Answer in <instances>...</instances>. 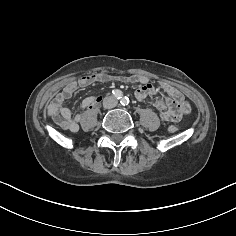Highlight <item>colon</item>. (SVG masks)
<instances>
[{"instance_id":"5ec220e1","label":"colon","mask_w":236,"mask_h":236,"mask_svg":"<svg viewBox=\"0 0 236 236\" xmlns=\"http://www.w3.org/2000/svg\"><path fill=\"white\" fill-rule=\"evenodd\" d=\"M169 129H170V131H172V132H175V131L177 130V128H176L175 126H171Z\"/></svg>"}]
</instances>
